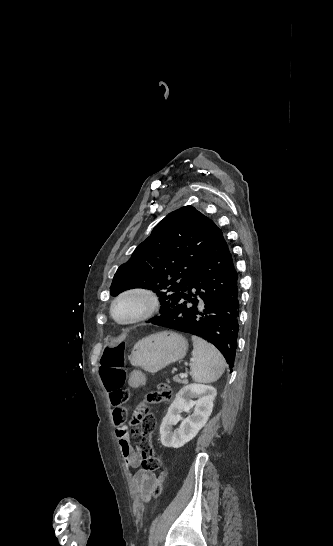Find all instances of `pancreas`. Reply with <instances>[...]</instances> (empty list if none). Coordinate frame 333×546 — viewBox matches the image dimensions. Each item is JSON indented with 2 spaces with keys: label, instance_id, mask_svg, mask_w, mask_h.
Wrapping results in <instances>:
<instances>
[{
  "label": "pancreas",
  "instance_id": "obj_1",
  "mask_svg": "<svg viewBox=\"0 0 333 546\" xmlns=\"http://www.w3.org/2000/svg\"><path fill=\"white\" fill-rule=\"evenodd\" d=\"M173 380H174L175 382H177V383H182V384H186V383H187V379H186V378L181 379V378H179L178 375L174 376V377H173Z\"/></svg>",
  "mask_w": 333,
  "mask_h": 546
}]
</instances>
